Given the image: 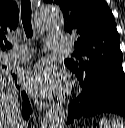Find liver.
Returning <instances> with one entry per match:
<instances>
[{
    "instance_id": "obj_1",
    "label": "liver",
    "mask_w": 125,
    "mask_h": 128,
    "mask_svg": "<svg viewBox=\"0 0 125 128\" xmlns=\"http://www.w3.org/2000/svg\"><path fill=\"white\" fill-rule=\"evenodd\" d=\"M0 128H23L18 94L12 77L0 69Z\"/></svg>"
}]
</instances>
